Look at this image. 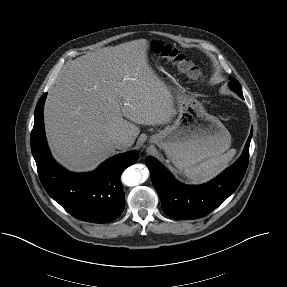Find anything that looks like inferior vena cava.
Instances as JSON below:
<instances>
[{
  "label": "inferior vena cava",
  "instance_id": "1",
  "mask_svg": "<svg viewBox=\"0 0 287 287\" xmlns=\"http://www.w3.org/2000/svg\"><path fill=\"white\" fill-rule=\"evenodd\" d=\"M111 144L115 149H122L128 145V138L125 136H118L112 140Z\"/></svg>",
  "mask_w": 287,
  "mask_h": 287
}]
</instances>
